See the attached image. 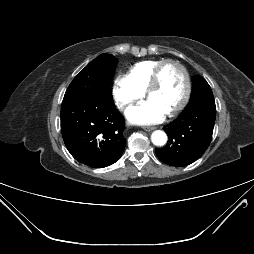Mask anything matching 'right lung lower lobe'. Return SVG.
<instances>
[{
    "mask_svg": "<svg viewBox=\"0 0 254 254\" xmlns=\"http://www.w3.org/2000/svg\"><path fill=\"white\" fill-rule=\"evenodd\" d=\"M124 117L113 102L97 104L78 97H64L61 133L71 155L79 162L103 168L122 155Z\"/></svg>",
    "mask_w": 254,
    "mask_h": 254,
    "instance_id": "obj_1",
    "label": "right lung lower lobe"
}]
</instances>
